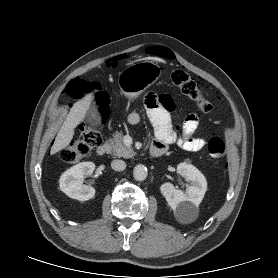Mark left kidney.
<instances>
[{
    "mask_svg": "<svg viewBox=\"0 0 278 278\" xmlns=\"http://www.w3.org/2000/svg\"><path fill=\"white\" fill-rule=\"evenodd\" d=\"M177 170L181 176L190 181L186 192L175 189L169 182L162 184L160 191L174 212L184 213L199 206L207 190V181L205 176L193 165L180 163Z\"/></svg>",
    "mask_w": 278,
    "mask_h": 278,
    "instance_id": "5707ae66",
    "label": "left kidney"
}]
</instances>
